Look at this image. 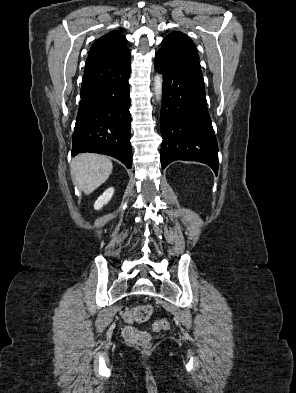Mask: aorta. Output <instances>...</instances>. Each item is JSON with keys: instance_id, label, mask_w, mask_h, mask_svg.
I'll use <instances>...</instances> for the list:
<instances>
[{"instance_id": "762f6f07", "label": "aorta", "mask_w": 296, "mask_h": 393, "mask_svg": "<svg viewBox=\"0 0 296 393\" xmlns=\"http://www.w3.org/2000/svg\"><path fill=\"white\" fill-rule=\"evenodd\" d=\"M162 90H163V77L161 74H156L154 77V93L156 100L161 102L162 100Z\"/></svg>"}]
</instances>
